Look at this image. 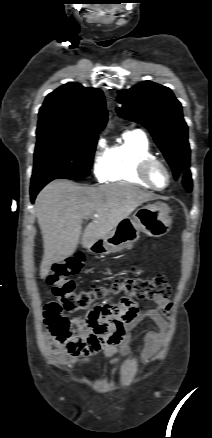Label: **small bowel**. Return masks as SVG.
<instances>
[{
    "label": "small bowel",
    "instance_id": "obj_1",
    "mask_svg": "<svg viewBox=\"0 0 212 438\" xmlns=\"http://www.w3.org/2000/svg\"><path fill=\"white\" fill-rule=\"evenodd\" d=\"M155 308L140 311L132 299L123 298L118 304H104L94 307L85 317H74L78 333L72 330L66 335L54 334L47 326L48 339L53 353L63 364L92 365L90 356L99 353L113 357L120 353L131 356L129 331L143 319L151 320L156 330L147 335L146 347L140 357L148 362L159 351L167 330L165 316L170 314L172 303L163 297L154 300ZM47 325V324H46ZM119 361L114 359L112 365Z\"/></svg>",
    "mask_w": 212,
    "mask_h": 438
}]
</instances>
